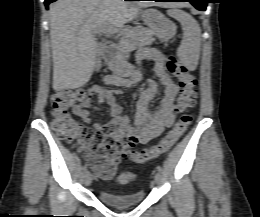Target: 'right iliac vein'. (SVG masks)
<instances>
[{
  "label": "right iliac vein",
  "mask_w": 260,
  "mask_h": 217,
  "mask_svg": "<svg viewBox=\"0 0 260 217\" xmlns=\"http://www.w3.org/2000/svg\"><path fill=\"white\" fill-rule=\"evenodd\" d=\"M84 182L86 186H89L92 182V175L90 172L86 171L84 175Z\"/></svg>",
  "instance_id": "obj_1"
}]
</instances>
